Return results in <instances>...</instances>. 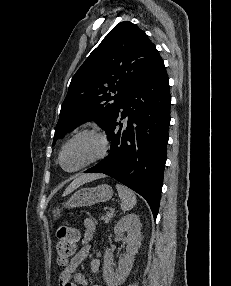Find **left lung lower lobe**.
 Returning <instances> with one entry per match:
<instances>
[{"label": "left lung lower lobe", "mask_w": 231, "mask_h": 286, "mask_svg": "<svg viewBox=\"0 0 231 286\" xmlns=\"http://www.w3.org/2000/svg\"><path fill=\"white\" fill-rule=\"evenodd\" d=\"M170 105L169 79L161 58L122 97L106 129L112 140L110 154L86 170L109 175L140 194L154 218L166 162ZM127 116L125 125L119 122Z\"/></svg>", "instance_id": "0a47b994"}]
</instances>
